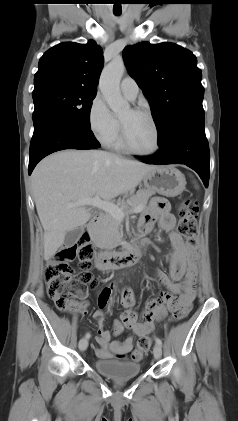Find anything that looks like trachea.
<instances>
[{
    "label": "trachea",
    "mask_w": 238,
    "mask_h": 421,
    "mask_svg": "<svg viewBox=\"0 0 238 421\" xmlns=\"http://www.w3.org/2000/svg\"><path fill=\"white\" fill-rule=\"evenodd\" d=\"M116 15H120V13H115Z\"/></svg>",
    "instance_id": "trachea-1"
}]
</instances>
